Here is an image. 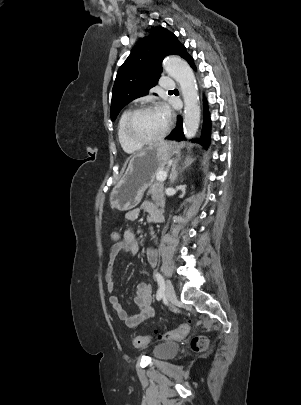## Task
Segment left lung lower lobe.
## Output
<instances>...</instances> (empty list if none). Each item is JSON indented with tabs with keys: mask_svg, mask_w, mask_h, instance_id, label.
<instances>
[{
	"mask_svg": "<svg viewBox=\"0 0 301 405\" xmlns=\"http://www.w3.org/2000/svg\"><path fill=\"white\" fill-rule=\"evenodd\" d=\"M186 61L191 65L192 68L195 69L194 61L191 56H189ZM210 127H211V120L207 110L206 102H204V122L202 127L201 136L196 142L200 143L205 148H208L210 144ZM166 139L182 141L185 139L184 134L182 132V118L180 116L177 117V125L176 128L169 134Z\"/></svg>",
	"mask_w": 301,
	"mask_h": 405,
	"instance_id": "obj_1",
	"label": "left lung lower lobe"
}]
</instances>
